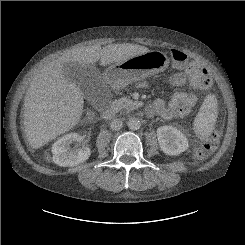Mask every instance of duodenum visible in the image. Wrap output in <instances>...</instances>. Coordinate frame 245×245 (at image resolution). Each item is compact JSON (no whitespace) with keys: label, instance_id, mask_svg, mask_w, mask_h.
Returning a JSON list of instances; mask_svg holds the SVG:
<instances>
[{"label":"duodenum","instance_id":"1","mask_svg":"<svg viewBox=\"0 0 245 245\" xmlns=\"http://www.w3.org/2000/svg\"><path fill=\"white\" fill-rule=\"evenodd\" d=\"M110 85H115V82L114 80H110ZM102 117L105 119V120H111L115 117V111L112 110V109H106L102 112Z\"/></svg>","mask_w":245,"mask_h":245}]
</instances>
